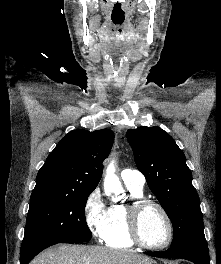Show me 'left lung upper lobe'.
<instances>
[{"label": "left lung upper lobe", "mask_w": 221, "mask_h": 264, "mask_svg": "<svg viewBox=\"0 0 221 264\" xmlns=\"http://www.w3.org/2000/svg\"><path fill=\"white\" fill-rule=\"evenodd\" d=\"M134 159L173 225L172 246L204 242L200 200L183 151L159 127L127 131Z\"/></svg>", "instance_id": "5c2ea615"}]
</instances>
